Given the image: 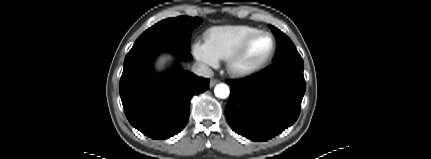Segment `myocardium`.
Here are the masks:
<instances>
[{
    "mask_svg": "<svg viewBox=\"0 0 431 159\" xmlns=\"http://www.w3.org/2000/svg\"><path fill=\"white\" fill-rule=\"evenodd\" d=\"M260 35H266L268 36L272 41V48L269 52V54L260 62H258L255 65L248 66V67H240L238 65V62L242 55L245 53L246 49L248 48L249 44L258 36ZM277 48V43L274 35L266 30H258L251 34H249L247 37H245L239 45L229 54V56L226 58V67L228 72L234 76V77H247L250 75H253L260 70L264 69L273 59L275 52Z\"/></svg>",
    "mask_w": 431,
    "mask_h": 159,
    "instance_id": "obj_1",
    "label": "myocardium"
}]
</instances>
